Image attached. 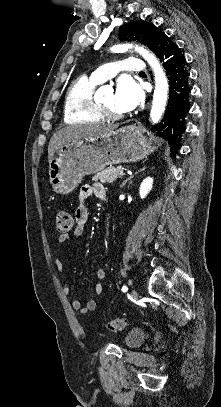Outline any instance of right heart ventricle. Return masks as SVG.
Returning a JSON list of instances; mask_svg holds the SVG:
<instances>
[{"mask_svg": "<svg viewBox=\"0 0 221 407\" xmlns=\"http://www.w3.org/2000/svg\"><path fill=\"white\" fill-rule=\"evenodd\" d=\"M98 84L92 78L82 76L70 85L64 102L65 122L93 123L103 120L94 99V90Z\"/></svg>", "mask_w": 221, "mask_h": 407, "instance_id": "e07e8e85", "label": "right heart ventricle"}]
</instances>
